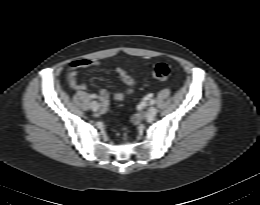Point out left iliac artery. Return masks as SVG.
I'll return each instance as SVG.
<instances>
[{
  "instance_id": "left-iliac-artery-1",
  "label": "left iliac artery",
  "mask_w": 260,
  "mask_h": 205,
  "mask_svg": "<svg viewBox=\"0 0 260 205\" xmlns=\"http://www.w3.org/2000/svg\"><path fill=\"white\" fill-rule=\"evenodd\" d=\"M150 104H151V105L155 104V100H154V99H151V100H150Z\"/></svg>"
}]
</instances>
